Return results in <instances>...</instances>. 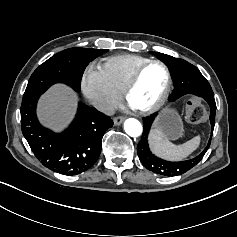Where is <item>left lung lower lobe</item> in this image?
<instances>
[{"mask_svg": "<svg viewBox=\"0 0 237 237\" xmlns=\"http://www.w3.org/2000/svg\"><path fill=\"white\" fill-rule=\"evenodd\" d=\"M207 103L210 106L211 112H210V122H211V126H212V132H213V128L215 125V114H216V103H215V99H214V95L213 96H208L206 98H204ZM156 116V114H155Z\"/></svg>", "mask_w": 237, "mask_h": 237, "instance_id": "left-lung-lower-lobe-1", "label": "left lung lower lobe"}]
</instances>
